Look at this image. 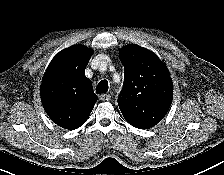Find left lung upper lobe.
<instances>
[{
  "mask_svg": "<svg viewBox=\"0 0 224 175\" xmlns=\"http://www.w3.org/2000/svg\"><path fill=\"white\" fill-rule=\"evenodd\" d=\"M124 84L119 108L128 123L150 128L168 112L173 84L165 64L150 50L130 44L120 50Z\"/></svg>",
  "mask_w": 224,
  "mask_h": 175,
  "instance_id": "left-lung-upper-lobe-1",
  "label": "left lung upper lobe"
}]
</instances>
